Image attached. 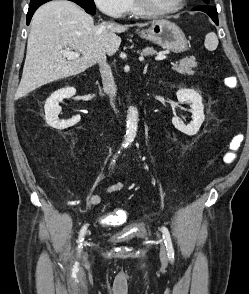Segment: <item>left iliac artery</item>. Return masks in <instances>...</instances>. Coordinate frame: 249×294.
<instances>
[{
  "instance_id": "44dca946",
  "label": "left iliac artery",
  "mask_w": 249,
  "mask_h": 294,
  "mask_svg": "<svg viewBox=\"0 0 249 294\" xmlns=\"http://www.w3.org/2000/svg\"><path fill=\"white\" fill-rule=\"evenodd\" d=\"M161 231L163 233V239H164V243H165V246L167 249L168 258H169V260L173 261L174 260V249H173V244H172V240L170 237V233L165 226H162Z\"/></svg>"
}]
</instances>
